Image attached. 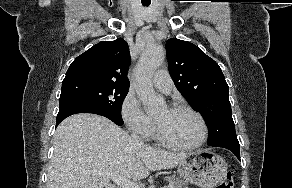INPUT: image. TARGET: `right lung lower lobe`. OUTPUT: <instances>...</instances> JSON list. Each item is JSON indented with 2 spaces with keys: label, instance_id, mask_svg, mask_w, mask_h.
<instances>
[{
  "label": "right lung lower lobe",
  "instance_id": "1",
  "mask_svg": "<svg viewBox=\"0 0 292 188\" xmlns=\"http://www.w3.org/2000/svg\"><path fill=\"white\" fill-rule=\"evenodd\" d=\"M76 113H93V114H98L104 117H107L108 119H110L111 121H113L114 123H116L117 125L121 126L123 124V120L122 119H117L115 117H112L110 115H107L103 112H100L98 110L92 109L86 105L83 104H63L61 106H59V113L57 115V122H56V126L62 121L64 120L66 117L76 114Z\"/></svg>",
  "mask_w": 292,
  "mask_h": 188
}]
</instances>
